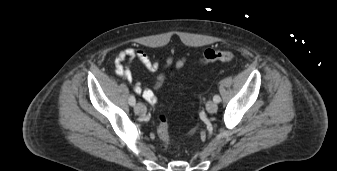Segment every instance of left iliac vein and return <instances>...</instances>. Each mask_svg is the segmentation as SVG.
Wrapping results in <instances>:
<instances>
[{
    "label": "left iliac vein",
    "instance_id": "left-iliac-vein-1",
    "mask_svg": "<svg viewBox=\"0 0 337 171\" xmlns=\"http://www.w3.org/2000/svg\"><path fill=\"white\" fill-rule=\"evenodd\" d=\"M217 104L216 102H213V101H208L207 104H206V109L209 113H215L217 111Z\"/></svg>",
    "mask_w": 337,
    "mask_h": 171
}]
</instances>
